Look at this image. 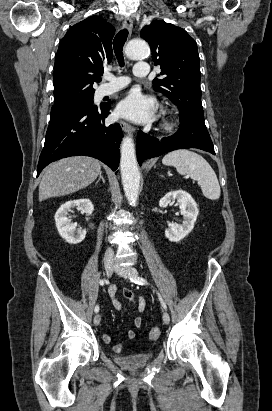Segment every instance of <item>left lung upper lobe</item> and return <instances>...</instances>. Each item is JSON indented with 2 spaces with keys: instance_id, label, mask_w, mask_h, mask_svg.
<instances>
[{
  "instance_id": "1",
  "label": "left lung upper lobe",
  "mask_w": 272,
  "mask_h": 411,
  "mask_svg": "<svg viewBox=\"0 0 272 411\" xmlns=\"http://www.w3.org/2000/svg\"><path fill=\"white\" fill-rule=\"evenodd\" d=\"M141 36L151 47L155 65L161 67L160 78L153 80L154 90L178 106L181 121H204L200 62L194 39L185 30L164 21L145 26Z\"/></svg>"
}]
</instances>
